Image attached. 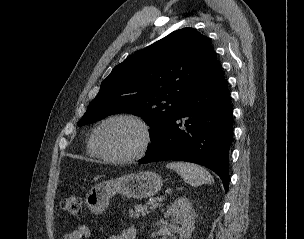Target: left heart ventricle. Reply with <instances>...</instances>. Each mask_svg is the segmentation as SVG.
I'll use <instances>...</instances> for the list:
<instances>
[{"label": "left heart ventricle", "mask_w": 304, "mask_h": 239, "mask_svg": "<svg viewBox=\"0 0 304 239\" xmlns=\"http://www.w3.org/2000/svg\"><path fill=\"white\" fill-rule=\"evenodd\" d=\"M142 141L138 125L126 120L113 121L101 128L98 143L101 149L111 155L124 156L136 151Z\"/></svg>", "instance_id": "left-heart-ventricle-1"}]
</instances>
